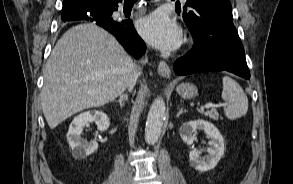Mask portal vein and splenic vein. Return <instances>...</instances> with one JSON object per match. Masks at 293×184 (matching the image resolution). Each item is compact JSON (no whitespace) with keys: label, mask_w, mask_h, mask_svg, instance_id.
<instances>
[{"label":"portal vein and splenic vein","mask_w":293,"mask_h":184,"mask_svg":"<svg viewBox=\"0 0 293 184\" xmlns=\"http://www.w3.org/2000/svg\"><path fill=\"white\" fill-rule=\"evenodd\" d=\"M214 106H215V105H214L213 103H207V104L204 105L203 108H205V109H210V108H212V107H214ZM223 106H225V104H223Z\"/></svg>","instance_id":"portal-vein-and-splenic-vein-1"}]
</instances>
